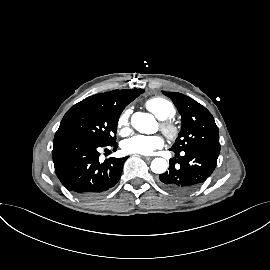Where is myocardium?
<instances>
[{"label":"myocardium","mask_w":270,"mask_h":270,"mask_svg":"<svg viewBox=\"0 0 270 270\" xmlns=\"http://www.w3.org/2000/svg\"><path fill=\"white\" fill-rule=\"evenodd\" d=\"M160 128L169 139L174 140L179 135V127L169 119L163 120L160 124Z\"/></svg>","instance_id":"obj_1"}]
</instances>
